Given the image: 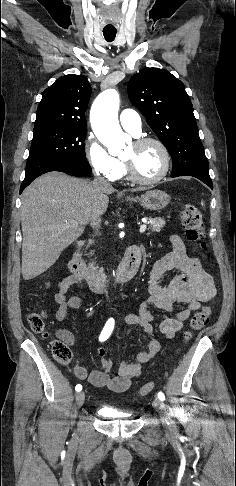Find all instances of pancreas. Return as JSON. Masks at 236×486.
<instances>
[{
	"mask_svg": "<svg viewBox=\"0 0 236 486\" xmlns=\"http://www.w3.org/2000/svg\"><path fill=\"white\" fill-rule=\"evenodd\" d=\"M148 221H149V228L148 230H150L151 232H160L162 227L165 225V220L160 218V217H156V218H152V217H149L147 218ZM89 268L90 269H93V270H96L98 269V267H95V264L94 263H91L89 264Z\"/></svg>",
	"mask_w": 236,
	"mask_h": 486,
	"instance_id": "pancreas-1",
	"label": "pancreas"
}]
</instances>
